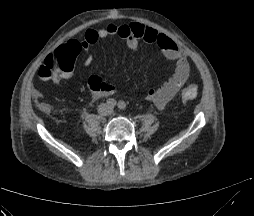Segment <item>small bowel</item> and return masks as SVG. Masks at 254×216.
I'll return each instance as SVG.
<instances>
[{
    "instance_id": "obj_1",
    "label": "small bowel",
    "mask_w": 254,
    "mask_h": 216,
    "mask_svg": "<svg viewBox=\"0 0 254 216\" xmlns=\"http://www.w3.org/2000/svg\"><path fill=\"white\" fill-rule=\"evenodd\" d=\"M111 36H118L126 41L129 49L135 50L141 41L157 45L164 56L176 63L174 74L159 88L149 90L146 97L154 103L158 109H163L174 98L180 88L187 82L190 75V64L186 53L168 36L152 28L146 27L137 22H131L123 25L110 24L101 29H88L85 32L84 40L79 42L75 39L66 40L59 49L71 51L75 49L76 43H79L82 49L99 40ZM55 50L51 55H55ZM91 57H87L85 65L91 63ZM73 75L72 71H65L61 76H56L52 80L59 84L64 79H69ZM89 87L92 91V98L99 99L104 96L114 94L116 87L102 81L98 76H91Z\"/></svg>"
}]
</instances>
